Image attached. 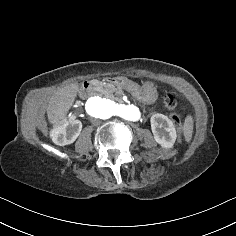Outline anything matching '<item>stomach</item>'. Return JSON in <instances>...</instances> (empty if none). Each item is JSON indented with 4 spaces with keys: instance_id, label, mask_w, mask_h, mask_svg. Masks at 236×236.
<instances>
[{
    "instance_id": "1",
    "label": "stomach",
    "mask_w": 236,
    "mask_h": 236,
    "mask_svg": "<svg viewBox=\"0 0 236 236\" xmlns=\"http://www.w3.org/2000/svg\"><path fill=\"white\" fill-rule=\"evenodd\" d=\"M120 89L124 93H130L132 98L138 99L144 105H154L158 99V87L153 82H144L139 86L130 80H124L120 84Z\"/></svg>"
}]
</instances>
